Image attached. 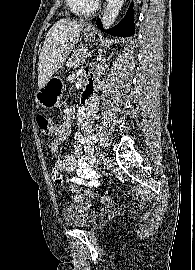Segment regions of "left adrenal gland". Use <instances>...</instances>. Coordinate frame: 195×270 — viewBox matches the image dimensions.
<instances>
[{"label": "left adrenal gland", "mask_w": 195, "mask_h": 270, "mask_svg": "<svg viewBox=\"0 0 195 270\" xmlns=\"http://www.w3.org/2000/svg\"><path fill=\"white\" fill-rule=\"evenodd\" d=\"M111 56H112V54L110 55V57ZM99 58H100L101 61H103V62L105 61V58L102 59L101 56H99Z\"/></svg>", "instance_id": "left-adrenal-gland-1"}]
</instances>
